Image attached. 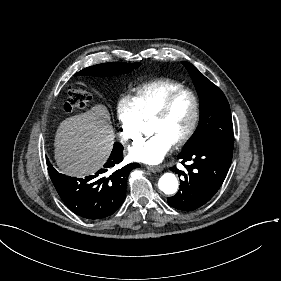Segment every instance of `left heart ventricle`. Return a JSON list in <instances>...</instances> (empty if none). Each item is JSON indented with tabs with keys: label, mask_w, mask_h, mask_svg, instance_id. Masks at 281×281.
<instances>
[{
	"label": "left heart ventricle",
	"mask_w": 281,
	"mask_h": 281,
	"mask_svg": "<svg viewBox=\"0 0 281 281\" xmlns=\"http://www.w3.org/2000/svg\"><path fill=\"white\" fill-rule=\"evenodd\" d=\"M192 113V100L188 95H183L172 103L162 118L146 122L147 135L161 133L173 142L186 132Z\"/></svg>",
	"instance_id": "obj_1"
}]
</instances>
